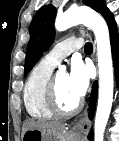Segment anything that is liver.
I'll return each mask as SVG.
<instances>
[{"label": "liver", "mask_w": 119, "mask_h": 141, "mask_svg": "<svg viewBox=\"0 0 119 141\" xmlns=\"http://www.w3.org/2000/svg\"><path fill=\"white\" fill-rule=\"evenodd\" d=\"M28 129H39L45 132H59L65 130V124L58 121L28 120L22 127V134Z\"/></svg>", "instance_id": "1"}]
</instances>
